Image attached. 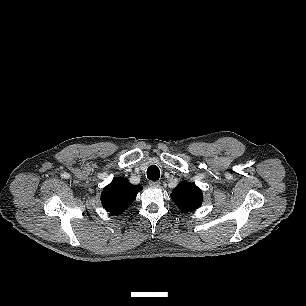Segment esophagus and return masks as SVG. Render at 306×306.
I'll list each match as a JSON object with an SVG mask.
<instances>
[{"label": "esophagus", "instance_id": "esophagus-1", "mask_svg": "<svg viewBox=\"0 0 306 306\" xmlns=\"http://www.w3.org/2000/svg\"><path fill=\"white\" fill-rule=\"evenodd\" d=\"M160 182L159 181H150L149 182V185L151 186V187H159L160 186Z\"/></svg>", "mask_w": 306, "mask_h": 306}]
</instances>
